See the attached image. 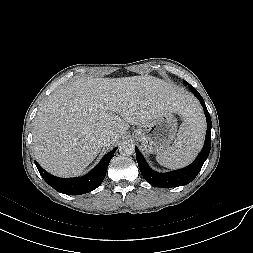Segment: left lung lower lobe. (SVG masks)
<instances>
[{
    "label": "left lung lower lobe",
    "instance_id": "0a47b994",
    "mask_svg": "<svg viewBox=\"0 0 253 253\" xmlns=\"http://www.w3.org/2000/svg\"><path fill=\"white\" fill-rule=\"evenodd\" d=\"M189 88L194 93V95L199 99L201 105L203 106L205 116L207 119V132L205 144L202 151L199 153L195 161L189 166L182 168L180 170L168 172V173H158L150 169L143 158L142 154L136 148V159L139 165L140 172L144 179H146L151 185L156 187H178L190 183L201 170L205 160L207 159L210 148H211V118L210 114L206 108L203 98L198 93V91L189 85Z\"/></svg>",
    "mask_w": 253,
    "mask_h": 253
}]
</instances>
